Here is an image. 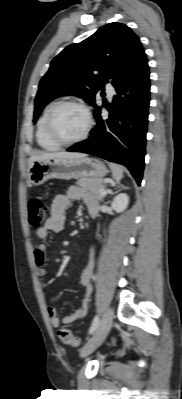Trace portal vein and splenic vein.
<instances>
[{"instance_id":"obj_1","label":"portal vein and splenic vein","mask_w":182,"mask_h":399,"mask_svg":"<svg viewBox=\"0 0 182 399\" xmlns=\"http://www.w3.org/2000/svg\"><path fill=\"white\" fill-rule=\"evenodd\" d=\"M105 182H107V181H105ZM106 193H107V191H106L105 189H102V190H101V194H102V195H106Z\"/></svg>"}]
</instances>
